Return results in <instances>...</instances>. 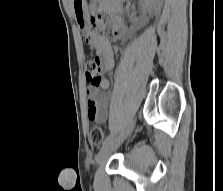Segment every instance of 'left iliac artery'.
Here are the masks:
<instances>
[{
    "instance_id": "obj_1",
    "label": "left iliac artery",
    "mask_w": 223,
    "mask_h": 191,
    "mask_svg": "<svg viewBox=\"0 0 223 191\" xmlns=\"http://www.w3.org/2000/svg\"><path fill=\"white\" fill-rule=\"evenodd\" d=\"M113 137H114V134L108 135L103 142V146L106 145L108 142H110L113 139Z\"/></svg>"
}]
</instances>
